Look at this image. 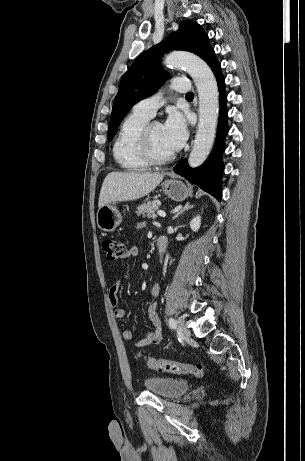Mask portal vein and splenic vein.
<instances>
[{
  "instance_id": "18ae733b",
  "label": "portal vein and splenic vein",
  "mask_w": 305,
  "mask_h": 461,
  "mask_svg": "<svg viewBox=\"0 0 305 461\" xmlns=\"http://www.w3.org/2000/svg\"><path fill=\"white\" fill-rule=\"evenodd\" d=\"M157 214H158L160 217H165V216H166V213H165L164 211H162V210H159V211L157 212Z\"/></svg>"
}]
</instances>
